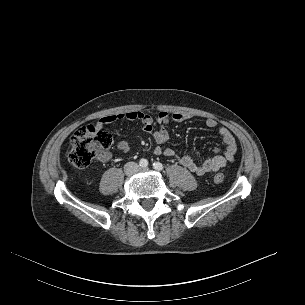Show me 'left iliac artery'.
Segmentation results:
<instances>
[{
  "label": "left iliac artery",
  "mask_w": 305,
  "mask_h": 305,
  "mask_svg": "<svg viewBox=\"0 0 305 305\" xmlns=\"http://www.w3.org/2000/svg\"><path fill=\"white\" fill-rule=\"evenodd\" d=\"M153 168L158 171H161V170H163V165L160 162H155V163H153Z\"/></svg>",
  "instance_id": "1"
}]
</instances>
